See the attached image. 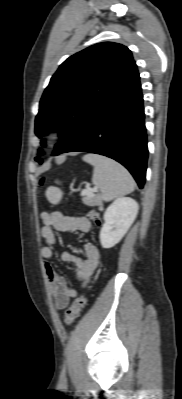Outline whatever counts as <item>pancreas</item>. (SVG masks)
I'll use <instances>...</instances> for the list:
<instances>
[{
  "label": "pancreas",
  "instance_id": "1",
  "mask_svg": "<svg viewBox=\"0 0 182 399\" xmlns=\"http://www.w3.org/2000/svg\"><path fill=\"white\" fill-rule=\"evenodd\" d=\"M93 200H94L95 202H97V201H99V197H98V196H93Z\"/></svg>",
  "mask_w": 182,
  "mask_h": 399
}]
</instances>
